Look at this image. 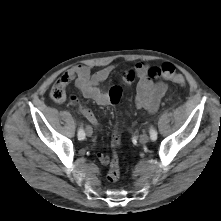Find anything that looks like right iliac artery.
Instances as JSON below:
<instances>
[{
	"label": "right iliac artery",
	"mask_w": 221,
	"mask_h": 221,
	"mask_svg": "<svg viewBox=\"0 0 221 221\" xmlns=\"http://www.w3.org/2000/svg\"><path fill=\"white\" fill-rule=\"evenodd\" d=\"M78 139L79 140H84L85 139V132H84V130L82 128H80L78 130Z\"/></svg>",
	"instance_id": "obj_1"
}]
</instances>
